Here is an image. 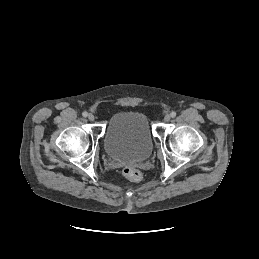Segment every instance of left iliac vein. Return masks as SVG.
I'll use <instances>...</instances> for the list:
<instances>
[{
    "mask_svg": "<svg viewBox=\"0 0 259 259\" xmlns=\"http://www.w3.org/2000/svg\"><path fill=\"white\" fill-rule=\"evenodd\" d=\"M170 119H171V116H170V115L167 114V115L164 116V121H165V122L170 121Z\"/></svg>",
    "mask_w": 259,
    "mask_h": 259,
    "instance_id": "1",
    "label": "left iliac vein"
}]
</instances>
